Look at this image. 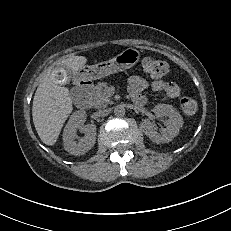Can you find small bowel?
<instances>
[{
	"mask_svg": "<svg viewBox=\"0 0 231 231\" xmlns=\"http://www.w3.org/2000/svg\"><path fill=\"white\" fill-rule=\"evenodd\" d=\"M148 88L154 92H164L170 98H177L181 92L180 86L172 81L155 80L149 84L139 76H131L128 79L129 93L134 102H137L138 99H142L145 102L142 92Z\"/></svg>",
	"mask_w": 231,
	"mask_h": 231,
	"instance_id": "c3829d8e",
	"label": "small bowel"
}]
</instances>
